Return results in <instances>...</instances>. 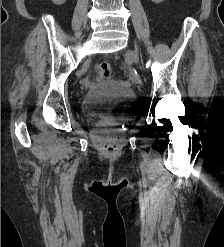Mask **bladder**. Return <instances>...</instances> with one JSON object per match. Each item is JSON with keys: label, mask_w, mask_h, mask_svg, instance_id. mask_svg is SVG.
Masks as SVG:
<instances>
[{"label": "bladder", "mask_w": 224, "mask_h": 247, "mask_svg": "<svg viewBox=\"0 0 224 247\" xmlns=\"http://www.w3.org/2000/svg\"><path fill=\"white\" fill-rule=\"evenodd\" d=\"M135 105L134 91L120 82L104 81L84 95L80 113L86 121H109L118 125L132 118Z\"/></svg>", "instance_id": "obj_1"}]
</instances>
